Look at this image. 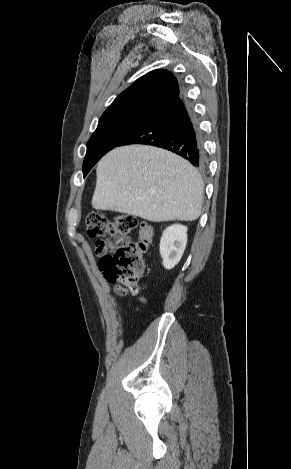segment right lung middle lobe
I'll return each instance as SVG.
<instances>
[{
    "label": "right lung middle lobe",
    "mask_w": 291,
    "mask_h": 469,
    "mask_svg": "<svg viewBox=\"0 0 291 469\" xmlns=\"http://www.w3.org/2000/svg\"><path fill=\"white\" fill-rule=\"evenodd\" d=\"M151 115L149 112L130 110L102 116L87 144L83 163L84 176L104 154L116 147Z\"/></svg>",
    "instance_id": "1"
}]
</instances>
